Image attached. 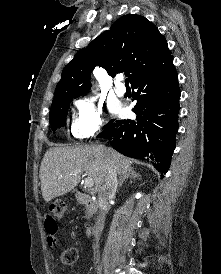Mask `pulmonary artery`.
I'll list each match as a JSON object with an SVG mask.
<instances>
[{
	"instance_id": "e3ab8cb5",
	"label": "pulmonary artery",
	"mask_w": 221,
	"mask_h": 274,
	"mask_svg": "<svg viewBox=\"0 0 221 274\" xmlns=\"http://www.w3.org/2000/svg\"><path fill=\"white\" fill-rule=\"evenodd\" d=\"M115 92L118 96H123L126 93V88L122 83V79L118 78L115 84Z\"/></svg>"
}]
</instances>
